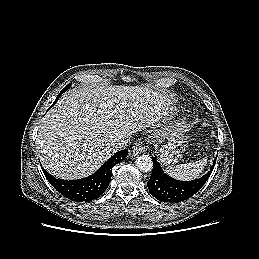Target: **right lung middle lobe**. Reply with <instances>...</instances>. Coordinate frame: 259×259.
Segmentation results:
<instances>
[{
    "instance_id": "1",
    "label": "right lung middle lobe",
    "mask_w": 259,
    "mask_h": 259,
    "mask_svg": "<svg viewBox=\"0 0 259 259\" xmlns=\"http://www.w3.org/2000/svg\"><path fill=\"white\" fill-rule=\"evenodd\" d=\"M70 86H71V83L68 84V85L62 90V92L64 93Z\"/></svg>"
}]
</instances>
